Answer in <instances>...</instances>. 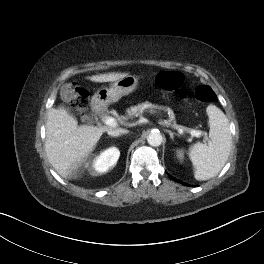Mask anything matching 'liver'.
<instances>
[{
    "instance_id": "6515ba94",
    "label": "liver",
    "mask_w": 264,
    "mask_h": 264,
    "mask_svg": "<svg viewBox=\"0 0 264 264\" xmlns=\"http://www.w3.org/2000/svg\"><path fill=\"white\" fill-rule=\"evenodd\" d=\"M128 73H108L87 77L93 82L117 81ZM112 127L78 126L65 107L51 108L46 122L45 151L49 162L63 178H74L95 149L102 134Z\"/></svg>"
}]
</instances>
